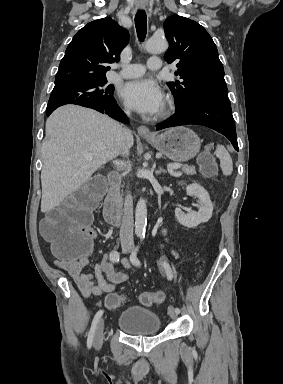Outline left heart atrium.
I'll list each match as a JSON object with an SVG mask.
<instances>
[{"mask_svg": "<svg viewBox=\"0 0 283 384\" xmlns=\"http://www.w3.org/2000/svg\"><path fill=\"white\" fill-rule=\"evenodd\" d=\"M120 96L126 104L145 115L156 114L164 103L161 89L146 79L126 83L120 91Z\"/></svg>", "mask_w": 283, "mask_h": 384, "instance_id": "39dd6f15", "label": "left heart atrium"}]
</instances>
